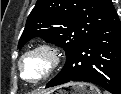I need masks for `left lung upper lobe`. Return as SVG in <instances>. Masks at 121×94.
I'll return each mask as SVG.
<instances>
[{
  "mask_svg": "<svg viewBox=\"0 0 121 94\" xmlns=\"http://www.w3.org/2000/svg\"><path fill=\"white\" fill-rule=\"evenodd\" d=\"M117 17L111 0H38L27 19L18 48L40 36L63 47L68 58Z\"/></svg>",
  "mask_w": 121,
  "mask_h": 94,
  "instance_id": "5c2ea615",
  "label": "left lung upper lobe"
}]
</instances>
